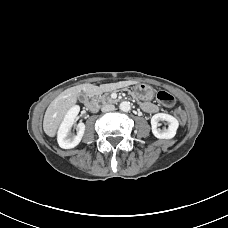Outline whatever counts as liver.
Masks as SVG:
<instances>
[{"mask_svg": "<svg viewBox=\"0 0 228 228\" xmlns=\"http://www.w3.org/2000/svg\"><path fill=\"white\" fill-rule=\"evenodd\" d=\"M134 81L119 82L109 85H102L100 87L93 84H81L64 90L60 93L48 106L43 120V129L46 135L54 137L64 120L67 112L73 107L78 99L80 92L87 95H98L105 90H110L123 85L135 84Z\"/></svg>", "mask_w": 228, "mask_h": 228, "instance_id": "obj_1", "label": "liver"}]
</instances>
